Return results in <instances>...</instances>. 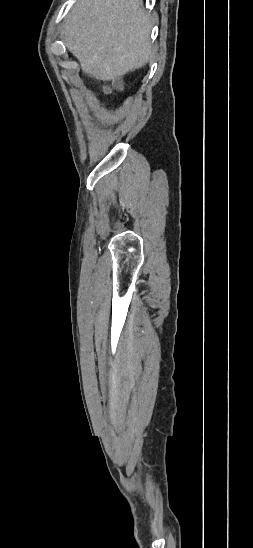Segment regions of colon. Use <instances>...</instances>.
Wrapping results in <instances>:
<instances>
[{
  "instance_id": "1",
  "label": "colon",
  "mask_w": 253,
  "mask_h": 548,
  "mask_svg": "<svg viewBox=\"0 0 253 548\" xmlns=\"http://www.w3.org/2000/svg\"><path fill=\"white\" fill-rule=\"evenodd\" d=\"M117 87H118L117 83H114L112 86V88H117ZM110 91H111V88H106V92H110Z\"/></svg>"
}]
</instances>
